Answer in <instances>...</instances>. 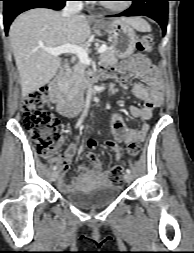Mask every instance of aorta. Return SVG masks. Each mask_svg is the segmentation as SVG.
<instances>
[{
    "label": "aorta",
    "mask_w": 194,
    "mask_h": 253,
    "mask_svg": "<svg viewBox=\"0 0 194 253\" xmlns=\"http://www.w3.org/2000/svg\"><path fill=\"white\" fill-rule=\"evenodd\" d=\"M92 93H93V90H92V88H90L88 90L87 97H86L85 111H87L90 106V100H91Z\"/></svg>",
    "instance_id": "762f6f07"
}]
</instances>
